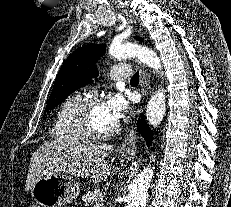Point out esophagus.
<instances>
[{
	"instance_id": "obj_1",
	"label": "esophagus",
	"mask_w": 231,
	"mask_h": 207,
	"mask_svg": "<svg viewBox=\"0 0 231 207\" xmlns=\"http://www.w3.org/2000/svg\"><path fill=\"white\" fill-rule=\"evenodd\" d=\"M143 81L145 86H148V78L143 74ZM145 93V92H144ZM141 112V109L138 110V113ZM136 143H137V130L136 126H132L128 134L126 135L122 145L120 146V152L125 154H135L136 152Z\"/></svg>"
}]
</instances>
